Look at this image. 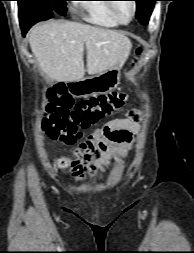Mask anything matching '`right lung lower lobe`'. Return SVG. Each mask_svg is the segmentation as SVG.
Returning <instances> with one entry per match:
<instances>
[{
  "label": "right lung lower lobe",
  "instance_id": "1",
  "mask_svg": "<svg viewBox=\"0 0 194 253\" xmlns=\"http://www.w3.org/2000/svg\"><path fill=\"white\" fill-rule=\"evenodd\" d=\"M52 17H53V16L44 17V20L49 19V18H52ZM33 24H35V23L20 20V25H21V29H22L23 35L26 34V32L28 31V29H29Z\"/></svg>",
  "mask_w": 194,
  "mask_h": 253
}]
</instances>
